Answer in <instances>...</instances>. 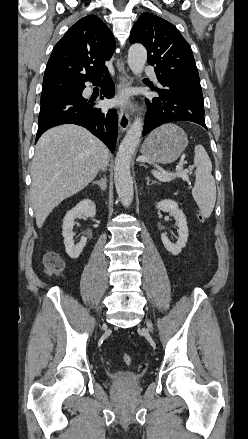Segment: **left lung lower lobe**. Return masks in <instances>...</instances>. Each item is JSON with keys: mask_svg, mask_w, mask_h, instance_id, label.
<instances>
[{"mask_svg": "<svg viewBox=\"0 0 248 439\" xmlns=\"http://www.w3.org/2000/svg\"><path fill=\"white\" fill-rule=\"evenodd\" d=\"M162 88H152L159 96L147 100L143 136L161 126L174 121H191L207 129L204 120L203 95L195 91L161 83Z\"/></svg>", "mask_w": 248, "mask_h": 439, "instance_id": "obj_1", "label": "left lung lower lobe"}]
</instances>
